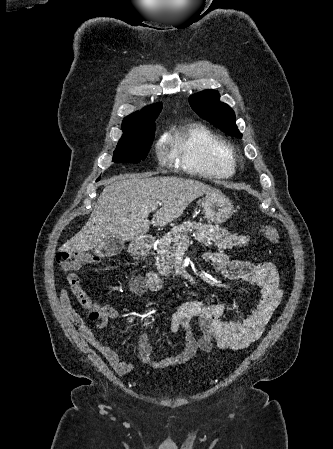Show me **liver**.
<instances>
[{
    "mask_svg": "<svg viewBox=\"0 0 333 449\" xmlns=\"http://www.w3.org/2000/svg\"><path fill=\"white\" fill-rule=\"evenodd\" d=\"M88 222L59 250L83 253L106 239L138 240L150 224L164 226L177 219L196 198L219 191L196 180L177 177L119 175L110 179ZM161 204L150 222V206Z\"/></svg>",
    "mask_w": 333,
    "mask_h": 449,
    "instance_id": "liver-1",
    "label": "liver"
}]
</instances>
